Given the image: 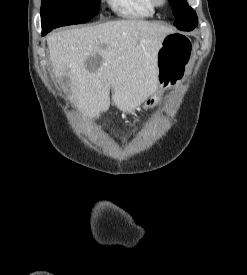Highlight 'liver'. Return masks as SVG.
Returning <instances> with one entry per match:
<instances>
[{"label": "liver", "mask_w": 247, "mask_h": 275, "mask_svg": "<svg viewBox=\"0 0 247 275\" xmlns=\"http://www.w3.org/2000/svg\"><path fill=\"white\" fill-rule=\"evenodd\" d=\"M173 31L139 19L73 28L47 38L55 76L86 117L99 118L112 101L132 113L158 89L156 59L163 38Z\"/></svg>", "instance_id": "1"}]
</instances>
